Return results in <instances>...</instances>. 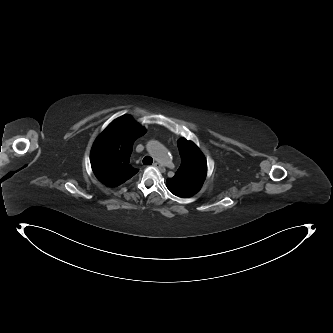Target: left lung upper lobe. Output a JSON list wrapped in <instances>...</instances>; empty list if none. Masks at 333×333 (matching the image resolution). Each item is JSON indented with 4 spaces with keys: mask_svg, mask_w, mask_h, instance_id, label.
Instances as JSON below:
<instances>
[{
    "mask_svg": "<svg viewBox=\"0 0 333 333\" xmlns=\"http://www.w3.org/2000/svg\"><path fill=\"white\" fill-rule=\"evenodd\" d=\"M181 165L176 174L167 179V188L178 197L187 198L196 194L207 174V163L200 149L191 141L178 140Z\"/></svg>",
    "mask_w": 333,
    "mask_h": 333,
    "instance_id": "obj_1",
    "label": "left lung upper lobe"
}]
</instances>
